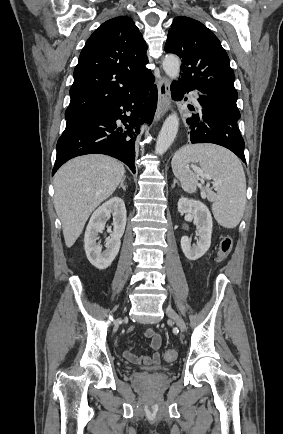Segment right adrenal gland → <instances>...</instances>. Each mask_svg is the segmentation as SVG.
Here are the masks:
<instances>
[{
  "instance_id": "obj_1",
  "label": "right adrenal gland",
  "mask_w": 283,
  "mask_h": 434,
  "mask_svg": "<svg viewBox=\"0 0 283 434\" xmlns=\"http://www.w3.org/2000/svg\"><path fill=\"white\" fill-rule=\"evenodd\" d=\"M125 178H126V176L123 177V179L121 180L120 185L118 187L119 189L122 188L124 191H126V187L124 185Z\"/></svg>"
}]
</instances>
